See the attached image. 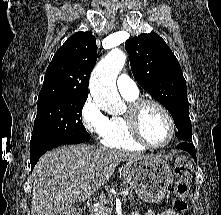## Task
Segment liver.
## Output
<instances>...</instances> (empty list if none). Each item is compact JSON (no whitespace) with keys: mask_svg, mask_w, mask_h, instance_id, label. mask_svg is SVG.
<instances>
[{"mask_svg":"<svg viewBox=\"0 0 221 215\" xmlns=\"http://www.w3.org/2000/svg\"><path fill=\"white\" fill-rule=\"evenodd\" d=\"M146 155L86 144L45 153L33 172L32 215H65L109 181L116 166ZM91 184V185H90Z\"/></svg>","mask_w":221,"mask_h":215,"instance_id":"obj_1","label":"liver"}]
</instances>
